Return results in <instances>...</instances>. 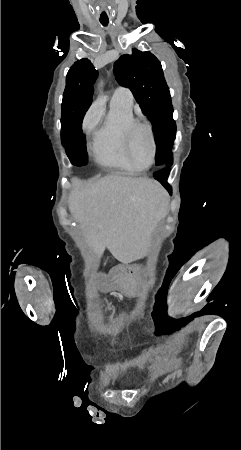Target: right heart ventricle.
<instances>
[{"mask_svg":"<svg viewBox=\"0 0 241 450\" xmlns=\"http://www.w3.org/2000/svg\"><path fill=\"white\" fill-rule=\"evenodd\" d=\"M134 119L132 106L123 101H113L105 121L95 130H87L89 147L101 165L130 169L135 162H128L129 154L123 153V125ZM137 159V157H136Z\"/></svg>","mask_w":241,"mask_h":450,"instance_id":"1","label":"right heart ventricle"}]
</instances>
